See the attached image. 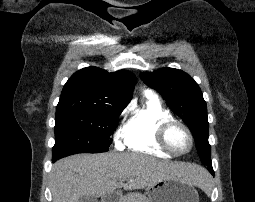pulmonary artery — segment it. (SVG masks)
<instances>
[{"label":"pulmonary artery","mask_w":255,"mask_h":202,"mask_svg":"<svg viewBox=\"0 0 255 202\" xmlns=\"http://www.w3.org/2000/svg\"><path fill=\"white\" fill-rule=\"evenodd\" d=\"M146 93H148V94H152L150 91H147Z\"/></svg>","instance_id":"obj_1"}]
</instances>
